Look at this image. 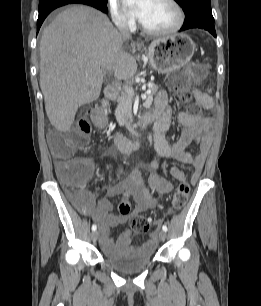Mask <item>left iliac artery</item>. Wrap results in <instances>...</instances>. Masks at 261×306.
<instances>
[{"label":"left iliac artery","instance_id":"obj_1","mask_svg":"<svg viewBox=\"0 0 261 306\" xmlns=\"http://www.w3.org/2000/svg\"><path fill=\"white\" fill-rule=\"evenodd\" d=\"M162 229H163V231H165V232H167V230H168V228H167L166 225H163V226H162Z\"/></svg>","mask_w":261,"mask_h":306}]
</instances>
